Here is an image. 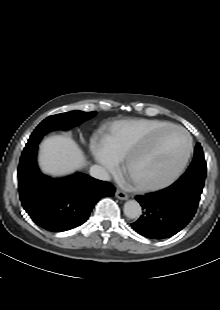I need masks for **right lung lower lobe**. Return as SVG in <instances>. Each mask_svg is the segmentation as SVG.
<instances>
[{
    "label": "right lung lower lobe",
    "instance_id": "obj_1",
    "mask_svg": "<svg viewBox=\"0 0 220 310\" xmlns=\"http://www.w3.org/2000/svg\"><path fill=\"white\" fill-rule=\"evenodd\" d=\"M38 144H26L18 167L19 196L23 208L40 227L61 232L82 225L102 197L115 188L86 174L53 179L43 175L36 163Z\"/></svg>",
    "mask_w": 220,
    "mask_h": 310
}]
</instances>
